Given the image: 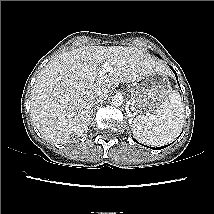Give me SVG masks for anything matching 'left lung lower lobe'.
Listing matches in <instances>:
<instances>
[{"mask_svg":"<svg viewBox=\"0 0 214 214\" xmlns=\"http://www.w3.org/2000/svg\"><path fill=\"white\" fill-rule=\"evenodd\" d=\"M171 69H172V71L175 73V76H176V79H177V74H176V72L174 71V69L171 67ZM178 80V79H177ZM179 84V83H178ZM135 142H137L135 139H133ZM137 143H139V142H137ZM164 147H167V146H162L161 148H164Z\"/></svg>","mask_w":214,"mask_h":214,"instance_id":"0a47b994","label":"left lung lower lobe"}]
</instances>
